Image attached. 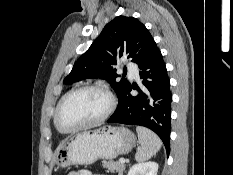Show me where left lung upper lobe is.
Returning <instances> with one entry per match:
<instances>
[{"label":"left lung upper lobe","instance_id":"obj_1","mask_svg":"<svg viewBox=\"0 0 233 175\" xmlns=\"http://www.w3.org/2000/svg\"><path fill=\"white\" fill-rule=\"evenodd\" d=\"M155 41L148 29L136 18L118 16L108 23L90 48L76 61L65 84L86 78L106 79L115 90L119 102L130 87L126 79L116 81L117 59L122 56L140 64Z\"/></svg>","mask_w":233,"mask_h":175}]
</instances>
